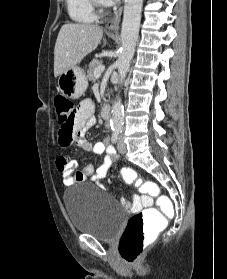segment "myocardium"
Here are the masks:
<instances>
[{"label":"myocardium","mask_w":227,"mask_h":279,"mask_svg":"<svg viewBox=\"0 0 227 279\" xmlns=\"http://www.w3.org/2000/svg\"><path fill=\"white\" fill-rule=\"evenodd\" d=\"M90 4L92 5L93 9L99 11L103 8L100 0H89Z\"/></svg>","instance_id":"f54148a6"}]
</instances>
